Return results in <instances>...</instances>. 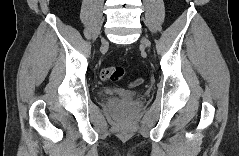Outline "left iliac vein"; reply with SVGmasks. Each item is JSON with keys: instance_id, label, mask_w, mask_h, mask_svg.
Segmentation results:
<instances>
[{"instance_id": "left-iliac-vein-1", "label": "left iliac vein", "mask_w": 239, "mask_h": 156, "mask_svg": "<svg viewBox=\"0 0 239 156\" xmlns=\"http://www.w3.org/2000/svg\"><path fill=\"white\" fill-rule=\"evenodd\" d=\"M141 42L146 46V47H149L150 46V42L147 38L143 37L141 39Z\"/></svg>"}]
</instances>
